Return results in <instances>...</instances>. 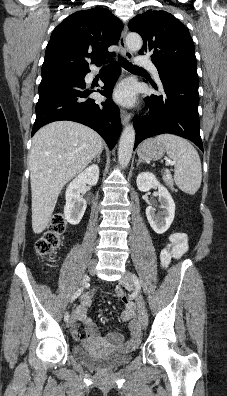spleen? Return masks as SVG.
<instances>
[{"label":"spleen","mask_w":227,"mask_h":396,"mask_svg":"<svg viewBox=\"0 0 227 396\" xmlns=\"http://www.w3.org/2000/svg\"><path fill=\"white\" fill-rule=\"evenodd\" d=\"M155 140L163 144L174 162V180L178 188L195 194L202 181L201 162L196 149L187 140L172 134L159 135Z\"/></svg>","instance_id":"3e777b00"}]
</instances>
